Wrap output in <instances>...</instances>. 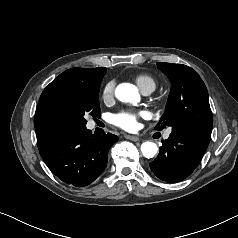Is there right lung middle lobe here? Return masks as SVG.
Returning a JSON list of instances; mask_svg holds the SVG:
<instances>
[{
  "instance_id": "1",
  "label": "right lung middle lobe",
  "mask_w": 238,
  "mask_h": 238,
  "mask_svg": "<svg viewBox=\"0 0 238 238\" xmlns=\"http://www.w3.org/2000/svg\"><path fill=\"white\" fill-rule=\"evenodd\" d=\"M106 68H94V81L90 83L72 82L66 84L61 90V102L63 106L61 124L62 127L86 126L85 117L90 114L93 117L100 116L99 89Z\"/></svg>"
}]
</instances>
